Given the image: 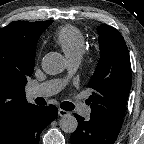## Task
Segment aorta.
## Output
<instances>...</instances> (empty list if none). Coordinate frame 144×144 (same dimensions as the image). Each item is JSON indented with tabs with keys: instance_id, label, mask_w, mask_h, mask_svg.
Instances as JSON below:
<instances>
[{
	"instance_id": "762f6f07",
	"label": "aorta",
	"mask_w": 144,
	"mask_h": 144,
	"mask_svg": "<svg viewBox=\"0 0 144 144\" xmlns=\"http://www.w3.org/2000/svg\"><path fill=\"white\" fill-rule=\"evenodd\" d=\"M64 67V58L60 53L49 52L42 59V68L49 75L61 73ZM59 126L65 133H73L77 129L78 122L75 116L66 114L60 119Z\"/></svg>"
}]
</instances>
